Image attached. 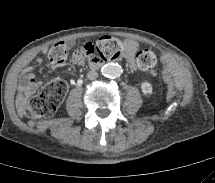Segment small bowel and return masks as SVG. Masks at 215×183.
Returning <instances> with one entry per match:
<instances>
[{
  "label": "small bowel",
  "instance_id": "1",
  "mask_svg": "<svg viewBox=\"0 0 215 183\" xmlns=\"http://www.w3.org/2000/svg\"><path fill=\"white\" fill-rule=\"evenodd\" d=\"M138 49V44L133 40H126L125 49L123 52V57L130 63H134V58L136 51ZM85 55L77 51L73 56L74 62H82ZM41 86V81L38 80L33 70L27 69L19 81V93L17 95V104L19 109H23L30 98Z\"/></svg>",
  "mask_w": 215,
  "mask_h": 183
}]
</instances>
